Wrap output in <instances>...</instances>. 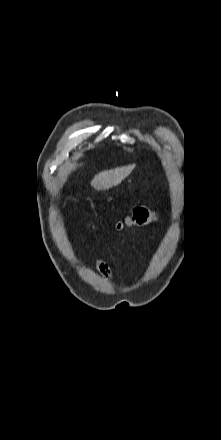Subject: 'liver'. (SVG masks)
<instances>
[{
  "instance_id": "6515ba94",
  "label": "liver",
  "mask_w": 221,
  "mask_h": 440,
  "mask_svg": "<svg viewBox=\"0 0 221 440\" xmlns=\"http://www.w3.org/2000/svg\"><path fill=\"white\" fill-rule=\"evenodd\" d=\"M135 168V164L103 171L95 175L91 181V186L97 191L108 190L119 185Z\"/></svg>"
}]
</instances>
